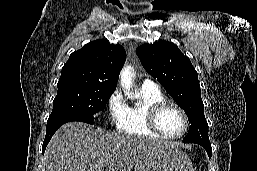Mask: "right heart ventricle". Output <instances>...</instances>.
Returning a JSON list of instances; mask_svg holds the SVG:
<instances>
[{"mask_svg": "<svg viewBox=\"0 0 257 171\" xmlns=\"http://www.w3.org/2000/svg\"><path fill=\"white\" fill-rule=\"evenodd\" d=\"M138 101L126 108L125 118L119 130L128 135L161 138L152 132L147 124L148 110L151 105L165 100L157 86L141 85L138 89Z\"/></svg>", "mask_w": 257, "mask_h": 171, "instance_id": "obj_1", "label": "right heart ventricle"}]
</instances>
